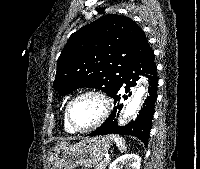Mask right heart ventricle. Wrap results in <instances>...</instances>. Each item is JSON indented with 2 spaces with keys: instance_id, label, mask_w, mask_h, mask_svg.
I'll return each mask as SVG.
<instances>
[{
  "instance_id": "right-heart-ventricle-1",
  "label": "right heart ventricle",
  "mask_w": 200,
  "mask_h": 169,
  "mask_svg": "<svg viewBox=\"0 0 200 169\" xmlns=\"http://www.w3.org/2000/svg\"><path fill=\"white\" fill-rule=\"evenodd\" d=\"M63 126L66 132L68 133H74L75 131L70 127L68 124L67 118H66V111L64 112V117H63Z\"/></svg>"
}]
</instances>
